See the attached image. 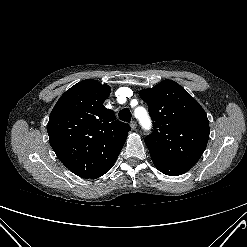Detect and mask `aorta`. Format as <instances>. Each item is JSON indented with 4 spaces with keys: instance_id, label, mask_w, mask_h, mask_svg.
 <instances>
[{
    "instance_id": "762f6f07",
    "label": "aorta",
    "mask_w": 247,
    "mask_h": 247,
    "mask_svg": "<svg viewBox=\"0 0 247 247\" xmlns=\"http://www.w3.org/2000/svg\"><path fill=\"white\" fill-rule=\"evenodd\" d=\"M141 122L143 126H147L148 125V119L146 116H144L143 118H141Z\"/></svg>"
}]
</instances>
